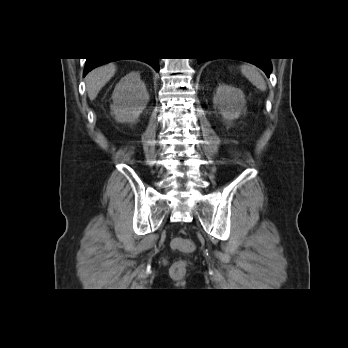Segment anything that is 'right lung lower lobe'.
Here are the masks:
<instances>
[{
    "mask_svg": "<svg viewBox=\"0 0 348 348\" xmlns=\"http://www.w3.org/2000/svg\"><path fill=\"white\" fill-rule=\"evenodd\" d=\"M111 61H114V60H109V59H104V58H87L83 76H85L92 69H94L102 64L111 62ZM142 61L151 65L156 71L159 70V59L158 58H149V59H145Z\"/></svg>",
    "mask_w": 348,
    "mask_h": 348,
    "instance_id": "1",
    "label": "right lung lower lobe"
}]
</instances>
